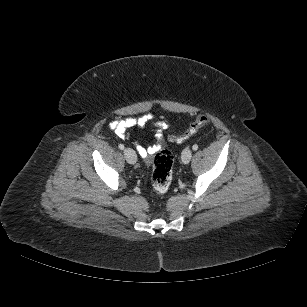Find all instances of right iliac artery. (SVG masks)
Masks as SVG:
<instances>
[{
	"mask_svg": "<svg viewBox=\"0 0 307 307\" xmlns=\"http://www.w3.org/2000/svg\"><path fill=\"white\" fill-rule=\"evenodd\" d=\"M118 147H119V149H121V150H123V149L125 148L123 144H119Z\"/></svg>",
	"mask_w": 307,
	"mask_h": 307,
	"instance_id": "1",
	"label": "right iliac artery"
}]
</instances>
